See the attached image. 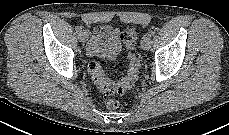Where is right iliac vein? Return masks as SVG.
I'll return each instance as SVG.
<instances>
[{"instance_id": "63e3f726", "label": "right iliac vein", "mask_w": 229, "mask_h": 135, "mask_svg": "<svg viewBox=\"0 0 229 135\" xmlns=\"http://www.w3.org/2000/svg\"><path fill=\"white\" fill-rule=\"evenodd\" d=\"M88 38H89V34H88V32L87 31H81L80 33H79V35H78V39H79V41L80 42H86L87 40H88Z\"/></svg>"}]
</instances>
